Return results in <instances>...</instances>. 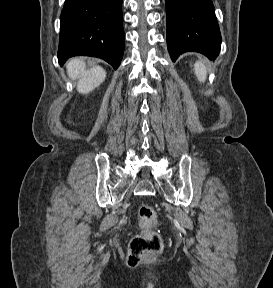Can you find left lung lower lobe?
I'll return each mask as SVG.
<instances>
[{
	"instance_id": "obj_1",
	"label": "left lung lower lobe",
	"mask_w": 273,
	"mask_h": 288,
	"mask_svg": "<svg viewBox=\"0 0 273 288\" xmlns=\"http://www.w3.org/2000/svg\"><path fill=\"white\" fill-rule=\"evenodd\" d=\"M167 46L175 61L184 52L217 58L221 34L212 0H165Z\"/></svg>"
}]
</instances>
